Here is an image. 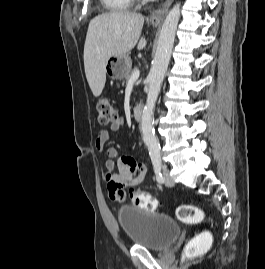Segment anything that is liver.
Wrapping results in <instances>:
<instances>
[{
  "label": "liver",
  "instance_id": "obj_1",
  "mask_svg": "<svg viewBox=\"0 0 265 269\" xmlns=\"http://www.w3.org/2000/svg\"><path fill=\"white\" fill-rule=\"evenodd\" d=\"M143 24L141 14L127 11L100 14L90 21L84 45V68L95 97L104 89L108 59L125 55L136 44L138 50L146 46V39L140 38Z\"/></svg>",
  "mask_w": 265,
  "mask_h": 269
}]
</instances>
